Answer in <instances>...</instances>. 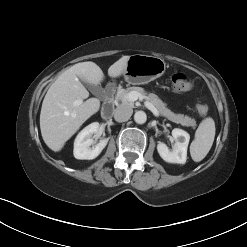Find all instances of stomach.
I'll list each match as a JSON object with an SVG mask.
<instances>
[{
  "label": "stomach",
  "mask_w": 247,
  "mask_h": 247,
  "mask_svg": "<svg viewBox=\"0 0 247 247\" xmlns=\"http://www.w3.org/2000/svg\"><path fill=\"white\" fill-rule=\"evenodd\" d=\"M165 70L166 63L162 58L135 54L129 57L123 75L129 84L141 85L161 77Z\"/></svg>",
  "instance_id": "1"
}]
</instances>
